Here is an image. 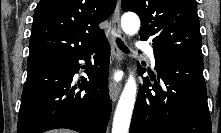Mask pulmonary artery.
I'll list each match as a JSON object with an SVG mask.
<instances>
[{
  "label": "pulmonary artery",
  "mask_w": 221,
  "mask_h": 133,
  "mask_svg": "<svg viewBox=\"0 0 221 133\" xmlns=\"http://www.w3.org/2000/svg\"><path fill=\"white\" fill-rule=\"evenodd\" d=\"M136 46L139 48V49H142L143 51H145V53L147 54L148 58L150 59V62L152 65H155V56H154V50L153 48L144 43V42H138L136 44Z\"/></svg>",
  "instance_id": "pulmonary-artery-1"
}]
</instances>
